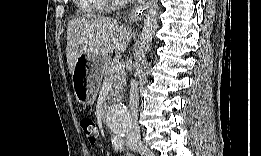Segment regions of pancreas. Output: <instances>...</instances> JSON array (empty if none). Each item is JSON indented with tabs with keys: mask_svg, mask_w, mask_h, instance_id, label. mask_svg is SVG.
Wrapping results in <instances>:
<instances>
[{
	"mask_svg": "<svg viewBox=\"0 0 261 156\" xmlns=\"http://www.w3.org/2000/svg\"><path fill=\"white\" fill-rule=\"evenodd\" d=\"M118 63L117 59L108 60L105 66L102 68V76L111 78L114 95H120L123 92V87L126 86V73H115L113 67Z\"/></svg>",
	"mask_w": 261,
	"mask_h": 156,
	"instance_id": "cf45deb5",
	"label": "pancreas"
}]
</instances>
